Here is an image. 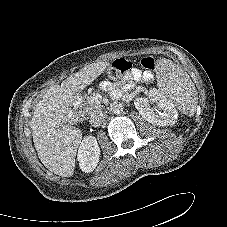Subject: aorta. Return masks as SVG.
Here are the masks:
<instances>
[{"label":"aorta","instance_id":"obj_1","mask_svg":"<svg viewBox=\"0 0 227 227\" xmlns=\"http://www.w3.org/2000/svg\"><path fill=\"white\" fill-rule=\"evenodd\" d=\"M110 111L114 114H120L123 111V105L120 102H113L110 105Z\"/></svg>","mask_w":227,"mask_h":227}]
</instances>
